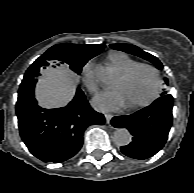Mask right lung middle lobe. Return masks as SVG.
Masks as SVG:
<instances>
[{"label": "right lung middle lobe", "instance_id": "obj_1", "mask_svg": "<svg viewBox=\"0 0 194 193\" xmlns=\"http://www.w3.org/2000/svg\"><path fill=\"white\" fill-rule=\"evenodd\" d=\"M86 62L87 60L72 59L71 62L68 63V65L74 72H76L77 74H80L81 69L85 65ZM28 75L29 73L27 70L24 75V79L22 83L20 84V88L18 92V100L34 96V86L36 82L31 84L27 78ZM77 90H80V89L78 88Z\"/></svg>", "mask_w": 194, "mask_h": 193}]
</instances>
